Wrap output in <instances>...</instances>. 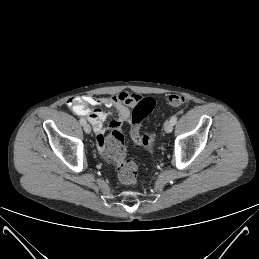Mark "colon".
<instances>
[{"label":"colon","mask_w":259,"mask_h":259,"mask_svg":"<svg viewBox=\"0 0 259 259\" xmlns=\"http://www.w3.org/2000/svg\"><path fill=\"white\" fill-rule=\"evenodd\" d=\"M171 107H178L188 102L184 95L173 94L167 100ZM155 106L153 98H140L135 105L131 118V137L133 141L144 147H150L154 141L152 133H141L142 121L151 113ZM106 158L116 167L118 179L126 185H134L138 178V167L135 162L127 159L124 135L119 128H113L104 142Z\"/></svg>","instance_id":"1"}]
</instances>
